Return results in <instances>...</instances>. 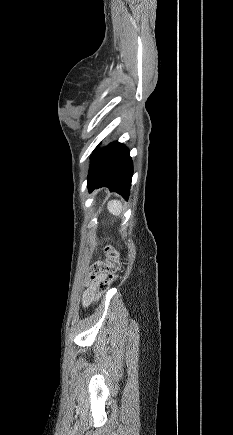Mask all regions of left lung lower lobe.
<instances>
[{
  "instance_id": "left-lung-lower-lobe-1",
  "label": "left lung lower lobe",
  "mask_w": 233,
  "mask_h": 435,
  "mask_svg": "<svg viewBox=\"0 0 233 435\" xmlns=\"http://www.w3.org/2000/svg\"><path fill=\"white\" fill-rule=\"evenodd\" d=\"M87 178L89 191L109 187L111 192L128 199L133 174V164L128 149L119 142H113L92 155Z\"/></svg>"
}]
</instances>
